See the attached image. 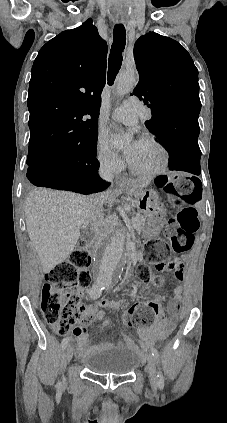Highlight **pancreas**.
<instances>
[{"mask_svg": "<svg viewBox=\"0 0 227 423\" xmlns=\"http://www.w3.org/2000/svg\"><path fill=\"white\" fill-rule=\"evenodd\" d=\"M135 217H137V223H136L134 229H136L137 233H141V231H143V229H145L146 217H145V215H142V213H137V215H135ZM109 229H110V225H109L107 219H105V221H103L102 225H99L97 231H98V233H100V235H104V231H109Z\"/></svg>", "mask_w": 227, "mask_h": 423, "instance_id": "cf45deb5", "label": "pancreas"}]
</instances>
